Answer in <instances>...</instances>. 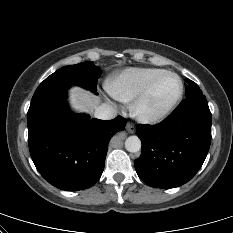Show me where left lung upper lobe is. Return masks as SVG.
<instances>
[{
	"mask_svg": "<svg viewBox=\"0 0 233 233\" xmlns=\"http://www.w3.org/2000/svg\"><path fill=\"white\" fill-rule=\"evenodd\" d=\"M188 84L186 85V96L188 97H193V96H198L202 94V91L199 90L197 84L193 81H188Z\"/></svg>",
	"mask_w": 233,
	"mask_h": 233,
	"instance_id": "5c2ea615",
	"label": "left lung upper lobe"
}]
</instances>
